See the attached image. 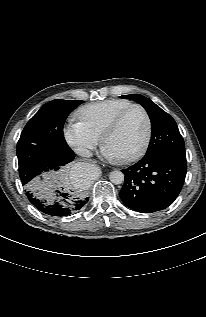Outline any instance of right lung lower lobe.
<instances>
[{"label":"right lung lower lobe","instance_id":"1","mask_svg":"<svg viewBox=\"0 0 206 317\" xmlns=\"http://www.w3.org/2000/svg\"><path fill=\"white\" fill-rule=\"evenodd\" d=\"M56 155L58 163L61 164L60 166L71 162L75 158V154L69 146L67 149H59ZM63 189L62 191H57V198L51 203L42 200V198L29 189L26 190V196L38 210L45 214L59 217L70 215L80 210L87 203L88 197H85L83 194Z\"/></svg>","mask_w":206,"mask_h":317}]
</instances>
